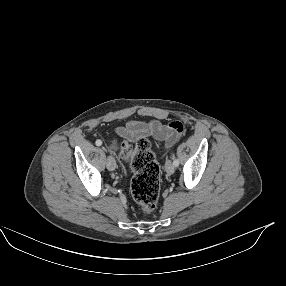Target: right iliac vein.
<instances>
[{"label": "right iliac vein", "mask_w": 286, "mask_h": 286, "mask_svg": "<svg viewBox=\"0 0 286 286\" xmlns=\"http://www.w3.org/2000/svg\"><path fill=\"white\" fill-rule=\"evenodd\" d=\"M107 168L110 170V171H113L115 170L116 168V162L114 160V158L112 156H109L107 158Z\"/></svg>", "instance_id": "1"}]
</instances>
